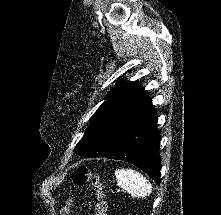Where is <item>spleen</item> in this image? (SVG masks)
<instances>
[{
	"label": "spleen",
	"instance_id": "spleen-1",
	"mask_svg": "<svg viewBox=\"0 0 221 215\" xmlns=\"http://www.w3.org/2000/svg\"><path fill=\"white\" fill-rule=\"evenodd\" d=\"M117 184L133 197L143 198L151 193L150 182L140 173L133 169H117L115 171Z\"/></svg>",
	"mask_w": 221,
	"mask_h": 215
}]
</instances>
